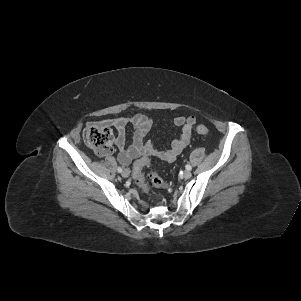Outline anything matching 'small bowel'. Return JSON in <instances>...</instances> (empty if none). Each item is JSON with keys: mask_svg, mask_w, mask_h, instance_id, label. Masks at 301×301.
Segmentation results:
<instances>
[{"mask_svg": "<svg viewBox=\"0 0 301 301\" xmlns=\"http://www.w3.org/2000/svg\"><path fill=\"white\" fill-rule=\"evenodd\" d=\"M195 116H177L173 124L180 128L179 136L165 149L157 148L147 134L153 127V120L144 114H138L132 119L117 117L105 120V124L114 127L117 131L115 146L118 150V160L123 165H129L132 160L141 156H153L167 162H172L187 147L190 142ZM131 125L132 142L127 146V128Z\"/></svg>", "mask_w": 301, "mask_h": 301, "instance_id": "1", "label": "small bowel"}]
</instances>
